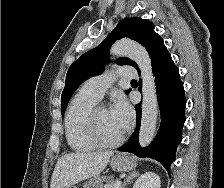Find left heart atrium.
Instances as JSON below:
<instances>
[{
    "instance_id": "obj_1",
    "label": "left heart atrium",
    "mask_w": 224,
    "mask_h": 188,
    "mask_svg": "<svg viewBox=\"0 0 224 188\" xmlns=\"http://www.w3.org/2000/svg\"><path fill=\"white\" fill-rule=\"evenodd\" d=\"M110 113L116 119L123 130H126L132 120L133 112L128 102L119 97L110 109Z\"/></svg>"
}]
</instances>
